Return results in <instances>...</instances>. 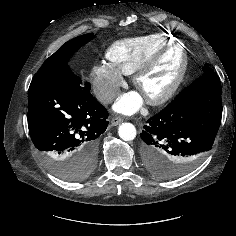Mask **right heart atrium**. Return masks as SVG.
<instances>
[{
  "label": "right heart atrium",
  "instance_id": "obj_1",
  "mask_svg": "<svg viewBox=\"0 0 236 236\" xmlns=\"http://www.w3.org/2000/svg\"><path fill=\"white\" fill-rule=\"evenodd\" d=\"M90 79L95 96L103 104H109L116 98L124 82L121 73L106 62L92 67Z\"/></svg>",
  "mask_w": 236,
  "mask_h": 236
}]
</instances>
